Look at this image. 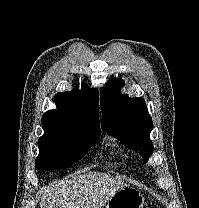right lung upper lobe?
<instances>
[{"mask_svg":"<svg viewBox=\"0 0 199 208\" xmlns=\"http://www.w3.org/2000/svg\"><path fill=\"white\" fill-rule=\"evenodd\" d=\"M54 100L57 109L42 116L43 127L100 130L97 89H90L83 83L81 90L57 93Z\"/></svg>","mask_w":199,"mask_h":208,"instance_id":"obj_1","label":"right lung upper lobe"}]
</instances>
